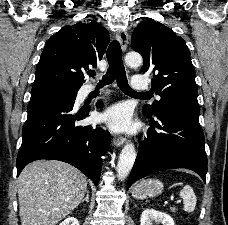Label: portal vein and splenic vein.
<instances>
[{"instance_id":"portal-vein-and-splenic-vein-1","label":"portal vein and splenic vein","mask_w":228,"mask_h":225,"mask_svg":"<svg viewBox=\"0 0 228 225\" xmlns=\"http://www.w3.org/2000/svg\"><path fill=\"white\" fill-rule=\"evenodd\" d=\"M169 202H173L174 205H180V200H174V197H172L171 195L167 196V199H163L162 201V205L163 207H168Z\"/></svg>"}]
</instances>
